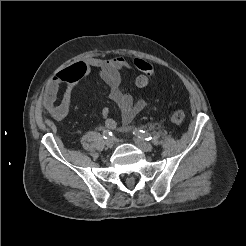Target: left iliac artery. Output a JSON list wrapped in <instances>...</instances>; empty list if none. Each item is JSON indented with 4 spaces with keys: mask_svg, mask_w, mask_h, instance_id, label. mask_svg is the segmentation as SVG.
I'll return each instance as SVG.
<instances>
[{
    "mask_svg": "<svg viewBox=\"0 0 246 246\" xmlns=\"http://www.w3.org/2000/svg\"><path fill=\"white\" fill-rule=\"evenodd\" d=\"M133 133L135 135H137L139 138H142V139H145V140H151L152 137H151V134L144 131V130H137V129H134Z\"/></svg>",
    "mask_w": 246,
    "mask_h": 246,
    "instance_id": "1",
    "label": "left iliac artery"
}]
</instances>
